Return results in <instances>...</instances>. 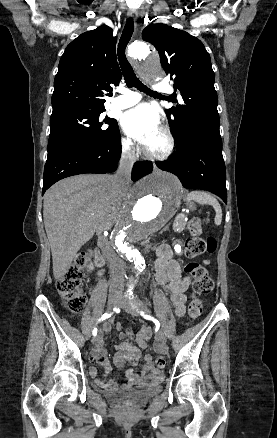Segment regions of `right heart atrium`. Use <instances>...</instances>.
Instances as JSON below:
<instances>
[{
  "mask_svg": "<svg viewBox=\"0 0 277 438\" xmlns=\"http://www.w3.org/2000/svg\"><path fill=\"white\" fill-rule=\"evenodd\" d=\"M121 146L125 154H130L133 151L134 144L130 138L126 136L121 137Z\"/></svg>",
  "mask_w": 277,
  "mask_h": 438,
  "instance_id": "d8ad5b80",
  "label": "right heart atrium"
}]
</instances>
